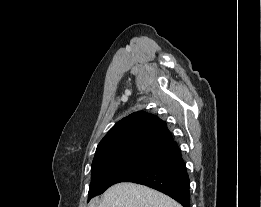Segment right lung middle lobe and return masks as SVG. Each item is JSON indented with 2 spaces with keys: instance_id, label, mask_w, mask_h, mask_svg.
<instances>
[{
  "instance_id": "obj_1",
  "label": "right lung middle lobe",
  "mask_w": 261,
  "mask_h": 207,
  "mask_svg": "<svg viewBox=\"0 0 261 207\" xmlns=\"http://www.w3.org/2000/svg\"><path fill=\"white\" fill-rule=\"evenodd\" d=\"M157 163L159 162L153 159L130 157L92 165L88 200L103 193L110 186L124 182L129 177L141 173Z\"/></svg>"
}]
</instances>
